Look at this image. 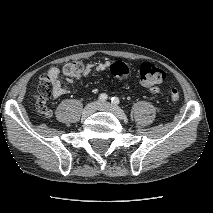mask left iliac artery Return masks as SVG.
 <instances>
[{"label":"left iliac artery","mask_w":213,"mask_h":213,"mask_svg":"<svg viewBox=\"0 0 213 213\" xmlns=\"http://www.w3.org/2000/svg\"><path fill=\"white\" fill-rule=\"evenodd\" d=\"M111 101H112V103H114V104H119V102H120V100H119L118 97H112Z\"/></svg>","instance_id":"left-iliac-artery-1"}]
</instances>
